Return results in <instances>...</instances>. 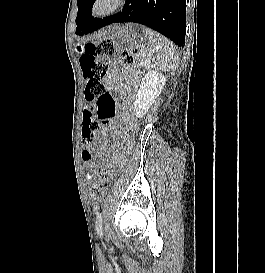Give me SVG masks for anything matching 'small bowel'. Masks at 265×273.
<instances>
[{
  "label": "small bowel",
  "instance_id": "1",
  "mask_svg": "<svg viewBox=\"0 0 265 273\" xmlns=\"http://www.w3.org/2000/svg\"><path fill=\"white\" fill-rule=\"evenodd\" d=\"M104 61L110 62V59L106 58V59H104ZM117 81H118V75L114 70H112L106 79V84H107L108 88L110 90L115 89L117 86ZM102 132H105V135H102V137L106 138V136L109 132V127H105Z\"/></svg>",
  "mask_w": 265,
  "mask_h": 273
}]
</instances>
